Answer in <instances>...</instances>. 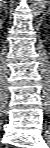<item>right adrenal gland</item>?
<instances>
[{"label":"right adrenal gland","mask_w":50,"mask_h":148,"mask_svg":"<svg viewBox=\"0 0 50 148\" xmlns=\"http://www.w3.org/2000/svg\"><path fill=\"white\" fill-rule=\"evenodd\" d=\"M1 8L7 12V6H6L5 2L3 4H1Z\"/></svg>","instance_id":"right-adrenal-gland-1"}]
</instances>
